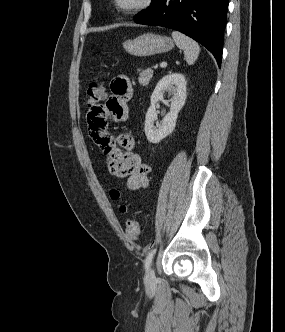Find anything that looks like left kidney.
I'll return each instance as SVG.
<instances>
[{"label": "left kidney", "instance_id": "left-kidney-1", "mask_svg": "<svg viewBox=\"0 0 285 332\" xmlns=\"http://www.w3.org/2000/svg\"><path fill=\"white\" fill-rule=\"evenodd\" d=\"M168 92L172 95L170 112L161 123L157 121L156 103ZM186 99V79L181 73H171L164 76L156 85L151 95V105L145 117V134L149 142L157 144L170 135L176 126L178 113ZM156 122V126L154 123Z\"/></svg>", "mask_w": 285, "mask_h": 332}]
</instances>
